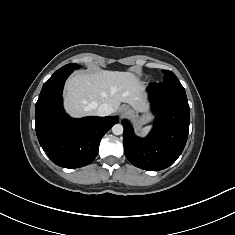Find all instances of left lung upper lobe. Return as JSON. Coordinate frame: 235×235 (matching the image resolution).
<instances>
[{"mask_svg":"<svg viewBox=\"0 0 235 235\" xmlns=\"http://www.w3.org/2000/svg\"><path fill=\"white\" fill-rule=\"evenodd\" d=\"M164 80L163 83H180L176 75L168 70H163Z\"/></svg>","mask_w":235,"mask_h":235,"instance_id":"1","label":"left lung upper lobe"}]
</instances>
